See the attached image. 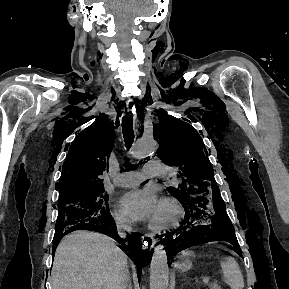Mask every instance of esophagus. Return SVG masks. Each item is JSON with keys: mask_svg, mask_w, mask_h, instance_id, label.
<instances>
[{"mask_svg": "<svg viewBox=\"0 0 289 289\" xmlns=\"http://www.w3.org/2000/svg\"><path fill=\"white\" fill-rule=\"evenodd\" d=\"M127 106L129 108L130 111H133L134 110V107H132V103H131V100H129L127 102ZM143 239H144V243L146 246L150 247V248H153L154 245L156 244V239L153 237V235H150V234H145L143 236Z\"/></svg>", "mask_w": 289, "mask_h": 289, "instance_id": "34e87169", "label": "esophagus"}]
</instances>
